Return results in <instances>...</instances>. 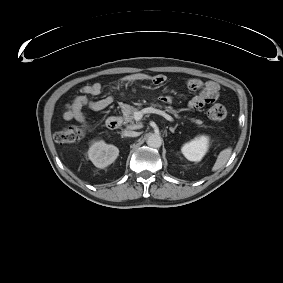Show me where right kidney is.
Wrapping results in <instances>:
<instances>
[{"instance_id": "obj_1", "label": "right kidney", "mask_w": 283, "mask_h": 283, "mask_svg": "<svg viewBox=\"0 0 283 283\" xmlns=\"http://www.w3.org/2000/svg\"><path fill=\"white\" fill-rule=\"evenodd\" d=\"M119 155V149L108 145L103 140L95 141L88 150V157L98 168H105L112 164Z\"/></svg>"}]
</instances>
